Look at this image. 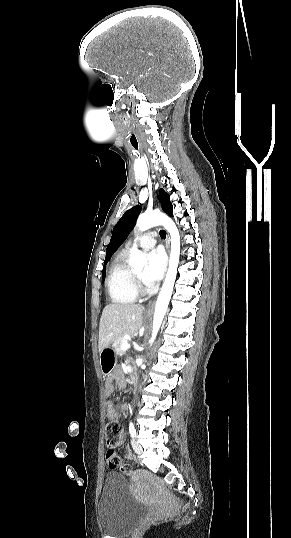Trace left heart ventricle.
<instances>
[{
	"instance_id": "obj_1",
	"label": "left heart ventricle",
	"mask_w": 291,
	"mask_h": 538,
	"mask_svg": "<svg viewBox=\"0 0 291 538\" xmlns=\"http://www.w3.org/2000/svg\"><path fill=\"white\" fill-rule=\"evenodd\" d=\"M144 271H145V270H144L143 268H141V269H137V270H135L134 273H135L141 280H143V274H144Z\"/></svg>"
}]
</instances>
